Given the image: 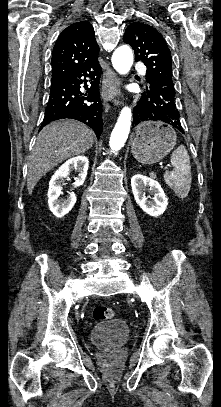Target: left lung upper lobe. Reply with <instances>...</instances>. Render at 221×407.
<instances>
[{
    "mask_svg": "<svg viewBox=\"0 0 221 407\" xmlns=\"http://www.w3.org/2000/svg\"><path fill=\"white\" fill-rule=\"evenodd\" d=\"M123 40L133 48L136 61L146 65L148 84L159 81L174 87L171 53L165 39L155 28L133 22L127 27Z\"/></svg>",
    "mask_w": 221,
    "mask_h": 407,
    "instance_id": "left-lung-upper-lobe-1",
    "label": "left lung upper lobe"
}]
</instances>
